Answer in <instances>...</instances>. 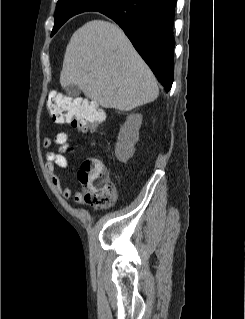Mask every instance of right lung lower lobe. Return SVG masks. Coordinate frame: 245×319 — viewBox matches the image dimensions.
<instances>
[{
  "instance_id": "98d812e1",
  "label": "right lung lower lobe",
  "mask_w": 245,
  "mask_h": 319,
  "mask_svg": "<svg viewBox=\"0 0 245 319\" xmlns=\"http://www.w3.org/2000/svg\"><path fill=\"white\" fill-rule=\"evenodd\" d=\"M177 0H123L99 11L113 19L166 92L173 83V22Z\"/></svg>"
}]
</instances>
